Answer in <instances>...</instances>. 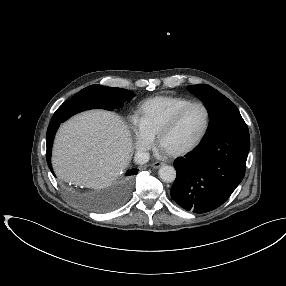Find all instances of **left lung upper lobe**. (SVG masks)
<instances>
[{
  "label": "left lung upper lobe",
  "instance_id": "1",
  "mask_svg": "<svg viewBox=\"0 0 286 286\" xmlns=\"http://www.w3.org/2000/svg\"><path fill=\"white\" fill-rule=\"evenodd\" d=\"M188 90L207 108L210 124L204 138L225 131H248L237 107L219 91L207 84L190 85Z\"/></svg>",
  "mask_w": 286,
  "mask_h": 286
}]
</instances>
